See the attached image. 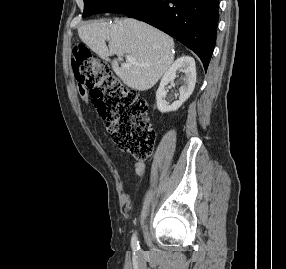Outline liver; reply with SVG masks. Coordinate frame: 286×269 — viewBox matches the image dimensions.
<instances>
[{"label":"liver","instance_id":"1","mask_svg":"<svg viewBox=\"0 0 286 269\" xmlns=\"http://www.w3.org/2000/svg\"><path fill=\"white\" fill-rule=\"evenodd\" d=\"M80 39L98 56L112 61L114 72L128 87L145 91L152 88L174 60V41L162 31L135 19H118L114 24L94 21L78 28ZM108 39L107 47L105 41ZM137 63H124V55ZM119 62L121 65L119 66Z\"/></svg>","mask_w":286,"mask_h":269}]
</instances>
